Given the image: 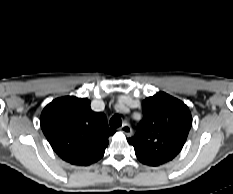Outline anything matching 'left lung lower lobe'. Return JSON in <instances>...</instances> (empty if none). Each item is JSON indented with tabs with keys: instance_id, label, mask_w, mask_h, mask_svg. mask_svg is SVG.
<instances>
[{
	"instance_id": "0a47b994",
	"label": "left lung lower lobe",
	"mask_w": 233,
	"mask_h": 194,
	"mask_svg": "<svg viewBox=\"0 0 233 194\" xmlns=\"http://www.w3.org/2000/svg\"><path fill=\"white\" fill-rule=\"evenodd\" d=\"M145 164V163H144ZM147 165H151V164H147ZM151 166H155V165H151Z\"/></svg>"
}]
</instances>
